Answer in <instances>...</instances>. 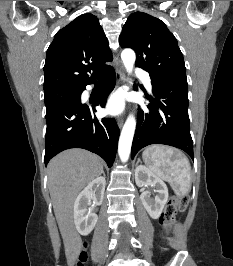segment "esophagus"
I'll return each instance as SVG.
<instances>
[{
    "label": "esophagus",
    "mask_w": 233,
    "mask_h": 266,
    "mask_svg": "<svg viewBox=\"0 0 233 266\" xmlns=\"http://www.w3.org/2000/svg\"><path fill=\"white\" fill-rule=\"evenodd\" d=\"M116 75H117V79L119 83H124L125 81V72H124V68L123 65H119L118 68L116 69ZM124 123V118L122 116L117 118V124L119 126V128H121L123 126Z\"/></svg>",
    "instance_id": "esophagus-1"
}]
</instances>
